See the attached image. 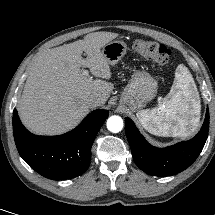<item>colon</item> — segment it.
<instances>
[{"label": "colon", "instance_id": "obj_1", "mask_svg": "<svg viewBox=\"0 0 215 215\" xmlns=\"http://www.w3.org/2000/svg\"><path fill=\"white\" fill-rule=\"evenodd\" d=\"M134 51L142 58L150 59L158 64H166L171 56V51L157 42L137 39L133 43Z\"/></svg>", "mask_w": 215, "mask_h": 215}]
</instances>
